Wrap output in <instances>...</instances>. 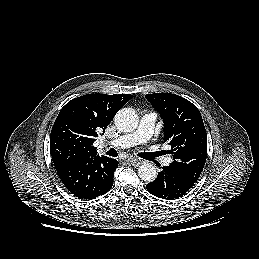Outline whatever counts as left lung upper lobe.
I'll list each match as a JSON object with an SVG mask.
<instances>
[{"label": "left lung upper lobe", "mask_w": 259, "mask_h": 259, "mask_svg": "<svg viewBox=\"0 0 259 259\" xmlns=\"http://www.w3.org/2000/svg\"><path fill=\"white\" fill-rule=\"evenodd\" d=\"M160 113L164 142L171 146V166L196 181L207 157V135L198 108L187 99L171 93L145 95Z\"/></svg>", "instance_id": "1"}]
</instances>
